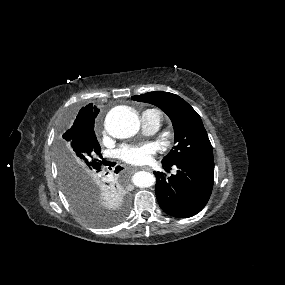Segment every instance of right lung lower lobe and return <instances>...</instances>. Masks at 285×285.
Returning <instances> with one entry per match:
<instances>
[{
  "mask_svg": "<svg viewBox=\"0 0 285 285\" xmlns=\"http://www.w3.org/2000/svg\"><path fill=\"white\" fill-rule=\"evenodd\" d=\"M112 162H104L106 165H110ZM122 168L120 166H117L115 169V172L118 173Z\"/></svg>",
  "mask_w": 285,
  "mask_h": 285,
  "instance_id": "obj_1",
  "label": "right lung lower lobe"
}]
</instances>
